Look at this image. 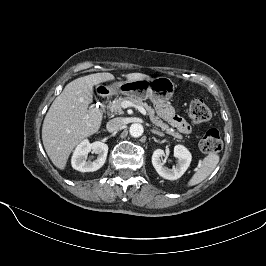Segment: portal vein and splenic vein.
Segmentation results:
<instances>
[{"mask_svg": "<svg viewBox=\"0 0 266 266\" xmlns=\"http://www.w3.org/2000/svg\"><path fill=\"white\" fill-rule=\"evenodd\" d=\"M122 108H128V107H135L137 108L143 115H146L147 112L142 106H138L133 104L131 101L125 100L121 103Z\"/></svg>", "mask_w": 266, "mask_h": 266, "instance_id": "obj_1", "label": "portal vein and splenic vein"}]
</instances>
